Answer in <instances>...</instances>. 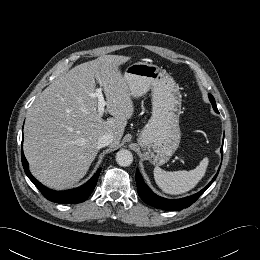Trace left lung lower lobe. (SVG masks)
<instances>
[{"mask_svg": "<svg viewBox=\"0 0 260 260\" xmlns=\"http://www.w3.org/2000/svg\"><path fill=\"white\" fill-rule=\"evenodd\" d=\"M221 153L223 154V146L221 148ZM219 172V170H218ZM218 173L214 176V178L210 181V183L203 188L200 192L177 200H169L162 198L155 193H153L150 188L144 183L141 174L136 170V183H137V192L141 199L147 203L148 205L154 206L163 210H182L183 208H187L192 205L199 196L206 191V189L214 182Z\"/></svg>", "mask_w": 260, "mask_h": 260, "instance_id": "1", "label": "left lung lower lobe"}]
</instances>
